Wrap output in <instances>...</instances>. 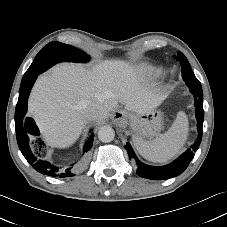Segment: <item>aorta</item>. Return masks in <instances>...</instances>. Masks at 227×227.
Here are the masks:
<instances>
[{
  "instance_id": "762f6f07",
  "label": "aorta",
  "mask_w": 227,
  "mask_h": 227,
  "mask_svg": "<svg viewBox=\"0 0 227 227\" xmlns=\"http://www.w3.org/2000/svg\"><path fill=\"white\" fill-rule=\"evenodd\" d=\"M115 137V131L110 126H103L98 131V138L103 143H108L113 141Z\"/></svg>"
}]
</instances>
